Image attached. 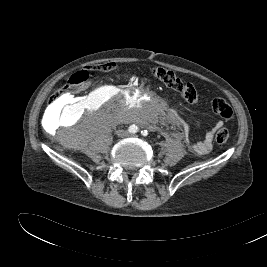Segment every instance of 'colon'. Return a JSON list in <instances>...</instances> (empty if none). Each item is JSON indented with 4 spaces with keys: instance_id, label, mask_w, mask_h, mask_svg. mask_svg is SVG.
Masks as SVG:
<instances>
[{
    "instance_id": "1",
    "label": "colon",
    "mask_w": 267,
    "mask_h": 267,
    "mask_svg": "<svg viewBox=\"0 0 267 267\" xmlns=\"http://www.w3.org/2000/svg\"><path fill=\"white\" fill-rule=\"evenodd\" d=\"M114 68L113 63H105L95 67L99 71H110ZM152 76L161 82L164 86L175 90L181 97L190 104L198 101V92L191 84L182 81L173 71L164 67H154L151 69ZM89 80V73L85 70L74 73L67 84L57 89L50 97L49 103L52 106L61 104L71 98L73 90L85 85ZM213 112L223 119H230L233 116L231 105L223 98H215L212 101ZM218 144H225L229 139V131L226 128H220L215 136Z\"/></svg>"
}]
</instances>
